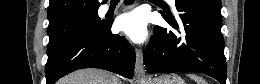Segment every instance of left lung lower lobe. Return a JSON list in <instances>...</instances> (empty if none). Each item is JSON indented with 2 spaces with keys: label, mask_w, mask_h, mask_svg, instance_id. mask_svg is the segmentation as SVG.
<instances>
[{
  "label": "left lung lower lobe",
  "mask_w": 260,
  "mask_h": 84,
  "mask_svg": "<svg viewBox=\"0 0 260 84\" xmlns=\"http://www.w3.org/2000/svg\"><path fill=\"white\" fill-rule=\"evenodd\" d=\"M220 7L201 0H176L182 24L179 26L172 15L162 14L175 31L154 27L144 53L148 73L192 71L226 84Z\"/></svg>",
  "instance_id": "left-lung-lower-lobe-1"
}]
</instances>
